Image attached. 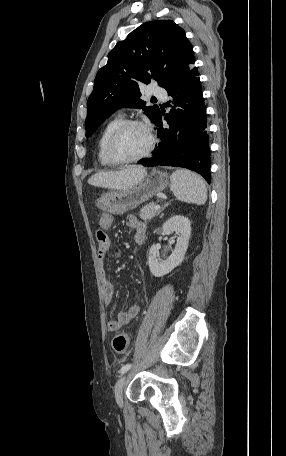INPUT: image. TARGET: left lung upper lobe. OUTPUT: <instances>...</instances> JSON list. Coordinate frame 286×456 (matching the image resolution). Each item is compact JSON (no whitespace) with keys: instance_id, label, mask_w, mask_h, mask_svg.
I'll use <instances>...</instances> for the list:
<instances>
[{"instance_id":"1","label":"left lung upper lobe","mask_w":286,"mask_h":456,"mask_svg":"<svg viewBox=\"0 0 286 456\" xmlns=\"http://www.w3.org/2000/svg\"><path fill=\"white\" fill-rule=\"evenodd\" d=\"M194 59L185 31L172 20L139 26L116 44L96 75L87 101L86 137L121 107L142 108L155 122L160 109L146 106L140 99L139 85L156 80L165 88Z\"/></svg>"}]
</instances>
